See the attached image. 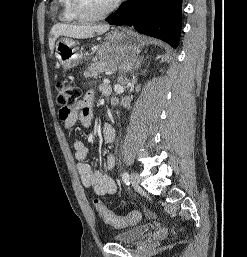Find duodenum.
Masks as SVG:
<instances>
[{"mask_svg": "<svg viewBox=\"0 0 247 257\" xmlns=\"http://www.w3.org/2000/svg\"><path fill=\"white\" fill-rule=\"evenodd\" d=\"M101 92L105 95V97L109 98L112 92L111 86L109 84H103Z\"/></svg>", "mask_w": 247, "mask_h": 257, "instance_id": "obj_1", "label": "duodenum"}]
</instances>
